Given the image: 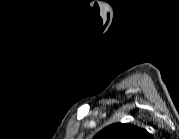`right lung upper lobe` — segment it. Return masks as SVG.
Masks as SVG:
<instances>
[{"instance_id": "1", "label": "right lung upper lobe", "mask_w": 179, "mask_h": 139, "mask_svg": "<svg viewBox=\"0 0 179 139\" xmlns=\"http://www.w3.org/2000/svg\"><path fill=\"white\" fill-rule=\"evenodd\" d=\"M149 133L131 124L115 123L100 131L94 139H148Z\"/></svg>"}]
</instances>
